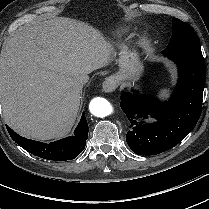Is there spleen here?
<instances>
[{
  "label": "spleen",
  "instance_id": "obj_1",
  "mask_svg": "<svg viewBox=\"0 0 209 209\" xmlns=\"http://www.w3.org/2000/svg\"><path fill=\"white\" fill-rule=\"evenodd\" d=\"M158 92H159V94L162 95V96H167L168 93H169V89L166 88V87H163V88H161Z\"/></svg>",
  "mask_w": 209,
  "mask_h": 209
}]
</instances>
